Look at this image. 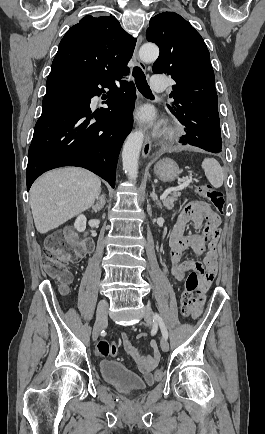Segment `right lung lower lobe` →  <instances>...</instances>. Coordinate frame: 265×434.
Returning a JSON list of instances; mask_svg holds the SVG:
<instances>
[{"instance_id": "obj_1", "label": "right lung lower lobe", "mask_w": 265, "mask_h": 434, "mask_svg": "<svg viewBox=\"0 0 265 434\" xmlns=\"http://www.w3.org/2000/svg\"><path fill=\"white\" fill-rule=\"evenodd\" d=\"M128 71L126 66L98 75L49 74L42 114L29 147L28 191L42 173L62 166L84 167L115 186L118 155L132 129L136 96L133 82L122 83L119 90L114 79ZM99 85L110 89L108 108L92 113L91 98L105 92Z\"/></svg>"}]
</instances>
